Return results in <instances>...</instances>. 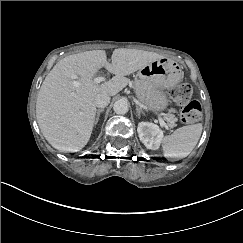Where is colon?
Segmentation results:
<instances>
[{
    "mask_svg": "<svg viewBox=\"0 0 243 243\" xmlns=\"http://www.w3.org/2000/svg\"><path fill=\"white\" fill-rule=\"evenodd\" d=\"M192 88L188 83H182L172 90L173 100L182 107L181 121L183 123H195L201 119V105L196 100H191Z\"/></svg>",
    "mask_w": 243,
    "mask_h": 243,
    "instance_id": "5ec220e1",
    "label": "colon"
}]
</instances>
